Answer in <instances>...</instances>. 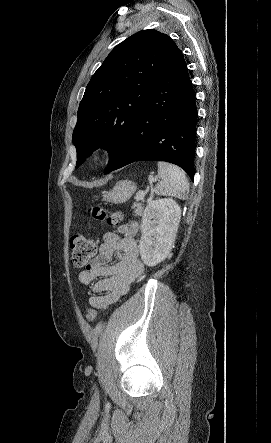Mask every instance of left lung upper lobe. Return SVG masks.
Here are the masks:
<instances>
[{"label":"left lung upper lobe","instance_id":"left-lung-upper-lobe-1","mask_svg":"<svg viewBox=\"0 0 271 443\" xmlns=\"http://www.w3.org/2000/svg\"><path fill=\"white\" fill-rule=\"evenodd\" d=\"M177 50L168 35L149 29L133 34L111 51L88 83L79 105L72 137L76 167L101 147L110 152L105 173L110 171L145 108L149 85Z\"/></svg>","mask_w":271,"mask_h":443}]
</instances>
